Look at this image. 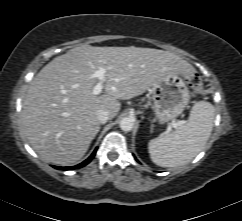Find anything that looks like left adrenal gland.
<instances>
[{
  "mask_svg": "<svg viewBox=\"0 0 242 221\" xmlns=\"http://www.w3.org/2000/svg\"><path fill=\"white\" fill-rule=\"evenodd\" d=\"M153 131V125L151 124V132Z\"/></svg>",
  "mask_w": 242,
  "mask_h": 221,
  "instance_id": "1",
  "label": "left adrenal gland"
}]
</instances>
